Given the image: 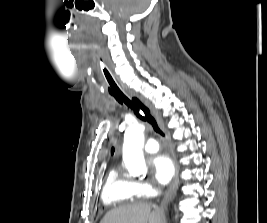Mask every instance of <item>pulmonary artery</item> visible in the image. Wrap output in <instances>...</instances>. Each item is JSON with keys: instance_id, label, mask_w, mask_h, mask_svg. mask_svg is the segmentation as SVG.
I'll return each mask as SVG.
<instances>
[{"instance_id": "1", "label": "pulmonary artery", "mask_w": 267, "mask_h": 223, "mask_svg": "<svg viewBox=\"0 0 267 223\" xmlns=\"http://www.w3.org/2000/svg\"><path fill=\"white\" fill-rule=\"evenodd\" d=\"M143 149L149 153L156 152L159 150V143L157 140L151 138L144 144Z\"/></svg>"}]
</instances>
